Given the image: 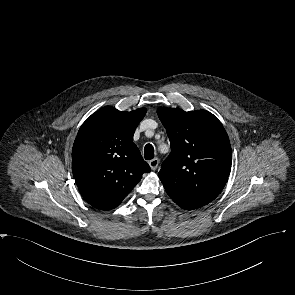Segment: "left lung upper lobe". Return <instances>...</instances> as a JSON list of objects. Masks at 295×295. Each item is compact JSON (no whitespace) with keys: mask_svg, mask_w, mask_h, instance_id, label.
Masks as SVG:
<instances>
[{"mask_svg":"<svg viewBox=\"0 0 295 295\" xmlns=\"http://www.w3.org/2000/svg\"><path fill=\"white\" fill-rule=\"evenodd\" d=\"M171 153L159 172L167 194L183 209H197L213 201L231 170L228 135L210 112L160 107Z\"/></svg>","mask_w":295,"mask_h":295,"instance_id":"left-lung-upper-lobe-1","label":"left lung upper lobe"}]
</instances>
